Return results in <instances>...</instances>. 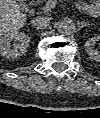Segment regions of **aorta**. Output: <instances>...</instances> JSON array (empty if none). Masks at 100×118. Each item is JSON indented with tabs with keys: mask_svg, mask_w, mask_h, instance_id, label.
I'll return each mask as SVG.
<instances>
[{
	"mask_svg": "<svg viewBox=\"0 0 100 118\" xmlns=\"http://www.w3.org/2000/svg\"><path fill=\"white\" fill-rule=\"evenodd\" d=\"M57 30L62 35H71L74 33L75 25L69 18H65L58 22Z\"/></svg>",
	"mask_w": 100,
	"mask_h": 118,
	"instance_id": "aorta-1",
	"label": "aorta"
}]
</instances>
